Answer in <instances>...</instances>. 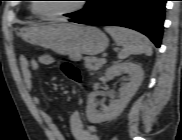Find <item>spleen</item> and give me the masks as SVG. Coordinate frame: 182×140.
Listing matches in <instances>:
<instances>
[{"instance_id":"1","label":"spleen","mask_w":182,"mask_h":140,"mask_svg":"<svg viewBox=\"0 0 182 140\" xmlns=\"http://www.w3.org/2000/svg\"><path fill=\"white\" fill-rule=\"evenodd\" d=\"M104 29L122 47L118 59H125L133 54L152 55L151 44L144 35L123 27L106 26Z\"/></svg>"}]
</instances>
